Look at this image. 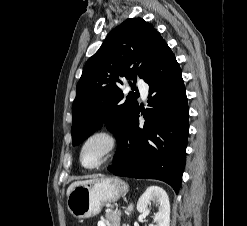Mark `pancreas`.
<instances>
[{
  "label": "pancreas",
  "mask_w": 247,
  "mask_h": 226,
  "mask_svg": "<svg viewBox=\"0 0 247 226\" xmlns=\"http://www.w3.org/2000/svg\"><path fill=\"white\" fill-rule=\"evenodd\" d=\"M119 220H120L119 217L116 218L115 214L109 213L105 221L106 223H112L113 221L119 222Z\"/></svg>",
  "instance_id": "cf45deb5"
}]
</instances>
